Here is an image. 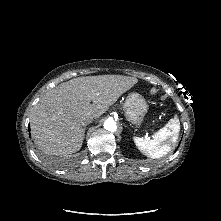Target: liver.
I'll use <instances>...</instances> for the list:
<instances>
[{
    "instance_id": "liver-1",
    "label": "liver",
    "mask_w": 221,
    "mask_h": 221,
    "mask_svg": "<svg viewBox=\"0 0 221 221\" xmlns=\"http://www.w3.org/2000/svg\"><path fill=\"white\" fill-rule=\"evenodd\" d=\"M137 82L135 77L99 75L59 84L33 107L30 127L34 142L50 155L79 151L84 139L82 119L89 115L98 119Z\"/></svg>"
}]
</instances>
